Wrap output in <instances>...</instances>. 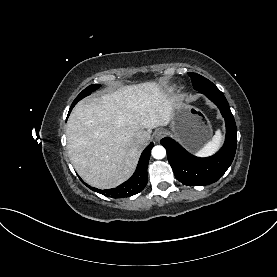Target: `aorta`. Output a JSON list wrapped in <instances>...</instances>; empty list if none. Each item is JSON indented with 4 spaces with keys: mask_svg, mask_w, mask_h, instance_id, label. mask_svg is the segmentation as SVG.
<instances>
[{
    "mask_svg": "<svg viewBox=\"0 0 277 277\" xmlns=\"http://www.w3.org/2000/svg\"><path fill=\"white\" fill-rule=\"evenodd\" d=\"M166 155V150L163 146L157 145L152 149V156L155 159H163Z\"/></svg>",
    "mask_w": 277,
    "mask_h": 277,
    "instance_id": "762f6f07",
    "label": "aorta"
}]
</instances>
